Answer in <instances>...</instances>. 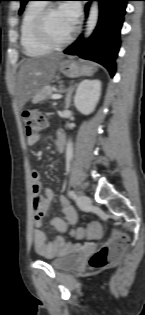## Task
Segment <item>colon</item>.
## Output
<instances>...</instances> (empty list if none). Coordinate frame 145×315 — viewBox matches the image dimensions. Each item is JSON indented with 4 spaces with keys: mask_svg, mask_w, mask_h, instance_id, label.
Returning <instances> with one entry per match:
<instances>
[{
    "mask_svg": "<svg viewBox=\"0 0 145 315\" xmlns=\"http://www.w3.org/2000/svg\"><path fill=\"white\" fill-rule=\"evenodd\" d=\"M22 119L27 136L36 134L45 125L44 117L34 110H25ZM78 237L96 238L101 233L99 223L92 222L85 229L74 232ZM128 244V237L120 232H115L113 237L96 251L90 258L92 268H102L114 264L122 256Z\"/></svg>",
    "mask_w": 145,
    "mask_h": 315,
    "instance_id": "colon-1",
    "label": "colon"
}]
</instances>
